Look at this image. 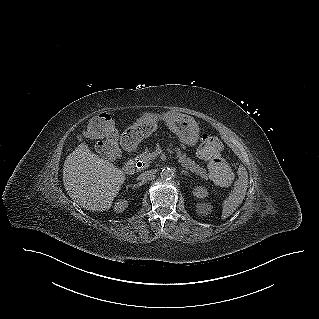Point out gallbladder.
<instances>
[{
	"label": "gallbladder",
	"mask_w": 319,
	"mask_h": 319,
	"mask_svg": "<svg viewBox=\"0 0 319 319\" xmlns=\"http://www.w3.org/2000/svg\"><path fill=\"white\" fill-rule=\"evenodd\" d=\"M118 146L117 144L115 143L114 145L110 146L109 148H107L108 151H113V149H117ZM107 157L110 159V160H115L116 159V156L114 154H108Z\"/></svg>",
	"instance_id": "obj_1"
}]
</instances>
